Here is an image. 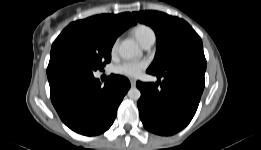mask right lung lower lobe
I'll return each mask as SVG.
<instances>
[{
  "mask_svg": "<svg viewBox=\"0 0 261 150\" xmlns=\"http://www.w3.org/2000/svg\"><path fill=\"white\" fill-rule=\"evenodd\" d=\"M51 101L61 120L73 131L98 135L112 125L130 88L127 78L112 75L104 86L93 75H69L49 80Z\"/></svg>",
  "mask_w": 261,
  "mask_h": 150,
  "instance_id": "obj_1",
  "label": "right lung lower lobe"
}]
</instances>
